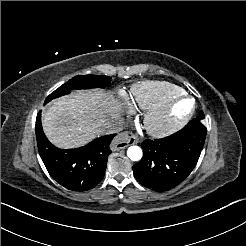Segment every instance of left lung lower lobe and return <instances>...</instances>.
<instances>
[{
  "label": "left lung lower lobe",
  "mask_w": 246,
  "mask_h": 246,
  "mask_svg": "<svg viewBox=\"0 0 246 246\" xmlns=\"http://www.w3.org/2000/svg\"><path fill=\"white\" fill-rule=\"evenodd\" d=\"M206 133L204 124L194 119L168 137L146 139L143 157L133 166L136 179L158 192L178 186L196 166Z\"/></svg>",
  "instance_id": "obj_1"
}]
</instances>
